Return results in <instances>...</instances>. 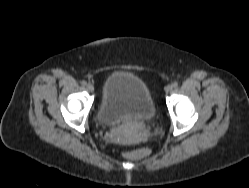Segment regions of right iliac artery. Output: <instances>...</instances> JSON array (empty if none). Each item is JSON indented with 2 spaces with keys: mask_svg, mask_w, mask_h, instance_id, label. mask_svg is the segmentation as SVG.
<instances>
[{
  "mask_svg": "<svg viewBox=\"0 0 249 188\" xmlns=\"http://www.w3.org/2000/svg\"><path fill=\"white\" fill-rule=\"evenodd\" d=\"M81 84H82L83 86H86V85H87V82H86L85 80H83V81L81 82Z\"/></svg>",
  "mask_w": 249,
  "mask_h": 188,
  "instance_id": "right-iliac-artery-1",
  "label": "right iliac artery"
}]
</instances>
